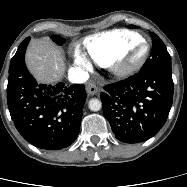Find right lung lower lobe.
Returning a JSON list of instances; mask_svg holds the SVG:
<instances>
[{"label":"right lung lower lobe","mask_w":187,"mask_h":187,"mask_svg":"<svg viewBox=\"0 0 187 187\" xmlns=\"http://www.w3.org/2000/svg\"><path fill=\"white\" fill-rule=\"evenodd\" d=\"M29 41L21 42L9 66L7 102L11 118L32 145L46 150L66 148L79 133L85 86L38 84L24 61Z\"/></svg>","instance_id":"98d812e1"}]
</instances>
